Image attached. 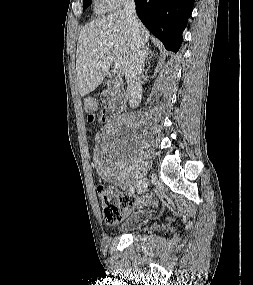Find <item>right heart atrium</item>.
I'll use <instances>...</instances> for the list:
<instances>
[{
	"mask_svg": "<svg viewBox=\"0 0 253 285\" xmlns=\"http://www.w3.org/2000/svg\"><path fill=\"white\" fill-rule=\"evenodd\" d=\"M102 5L110 10L121 7L127 0H100Z\"/></svg>",
	"mask_w": 253,
	"mask_h": 285,
	"instance_id": "d8ad5b80",
	"label": "right heart atrium"
}]
</instances>
